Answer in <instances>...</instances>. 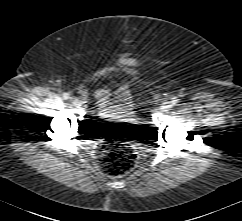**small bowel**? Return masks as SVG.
<instances>
[{
    "instance_id": "c3829d8e",
    "label": "small bowel",
    "mask_w": 242,
    "mask_h": 221,
    "mask_svg": "<svg viewBox=\"0 0 242 221\" xmlns=\"http://www.w3.org/2000/svg\"><path fill=\"white\" fill-rule=\"evenodd\" d=\"M92 96L97 102L98 105V114L100 116H106L111 111L114 110V107L111 105L112 99V90L111 89H99L92 93Z\"/></svg>"
}]
</instances>
